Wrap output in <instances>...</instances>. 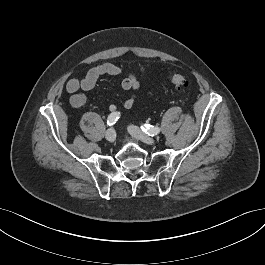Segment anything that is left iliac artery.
Listing matches in <instances>:
<instances>
[{"label":"left iliac artery","instance_id":"obj_1","mask_svg":"<svg viewBox=\"0 0 265 265\" xmlns=\"http://www.w3.org/2000/svg\"><path fill=\"white\" fill-rule=\"evenodd\" d=\"M142 131L147 133L149 136L157 135L160 132L159 127H154L150 124H144V126H141Z\"/></svg>","mask_w":265,"mask_h":265}]
</instances>
